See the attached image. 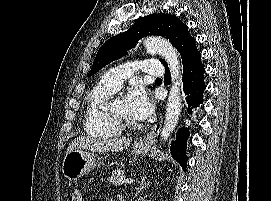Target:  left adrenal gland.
<instances>
[{
    "label": "left adrenal gland",
    "mask_w": 271,
    "mask_h": 201,
    "mask_svg": "<svg viewBox=\"0 0 271 201\" xmlns=\"http://www.w3.org/2000/svg\"><path fill=\"white\" fill-rule=\"evenodd\" d=\"M146 178H147L146 176L142 178V181L140 182L138 188L136 189L135 196H137L139 194V192H141L149 184V182L146 183V181H145Z\"/></svg>",
    "instance_id": "obj_1"
}]
</instances>
